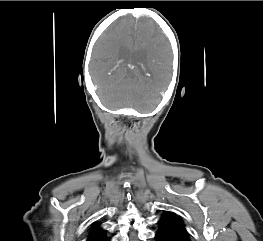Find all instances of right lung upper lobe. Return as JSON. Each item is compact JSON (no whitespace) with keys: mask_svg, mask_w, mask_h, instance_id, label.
Instances as JSON below:
<instances>
[{"mask_svg":"<svg viewBox=\"0 0 263 241\" xmlns=\"http://www.w3.org/2000/svg\"><path fill=\"white\" fill-rule=\"evenodd\" d=\"M106 239H108V237L106 236L105 230L100 227V224H93L89 230L87 241H106Z\"/></svg>","mask_w":263,"mask_h":241,"instance_id":"obj_1","label":"right lung upper lobe"}]
</instances>
